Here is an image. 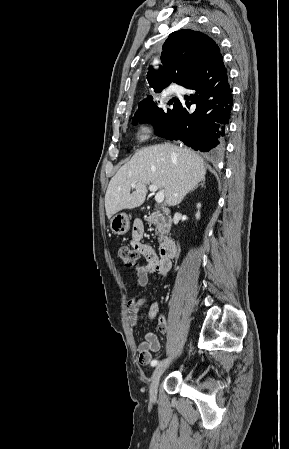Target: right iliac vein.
Instances as JSON below:
<instances>
[{
	"label": "right iliac vein",
	"instance_id": "right-iliac-vein-1",
	"mask_svg": "<svg viewBox=\"0 0 289 449\" xmlns=\"http://www.w3.org/2000/svg\"><path fill=\"white\" fill-rule=\"evenodd\" d=\"M170 361H164L159 363L153 371L151 377V384L149 388L150 397L155 399L157 396V388L159 384V380L164 371L169 367Z\"/></svg>",
	"mask_w": 289,
	"mask_h": 449
}]
</instances>
